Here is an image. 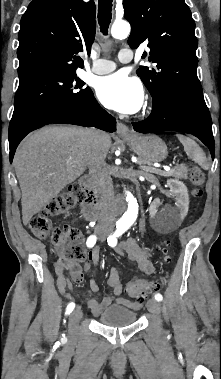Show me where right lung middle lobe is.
Segmentation results:
<instances>
[{
	"label": "right lung middle lobe",
	"instance_id": "dd1d6c3e",
	"mask_svg": "<svg viewBox=\"0 0 221 379\" xmlns=\"http://www.w3.org/2000/svg\"><path fill=\"white\" fill-rule=\"evenodd\" d=\"M84 85L75 71L42 74L20 81L9 125V139L40 118L86 99L91 90Z\"/></svg>",
	"mask_w": 221,
	"mask_h": 379
}]
</instances>
